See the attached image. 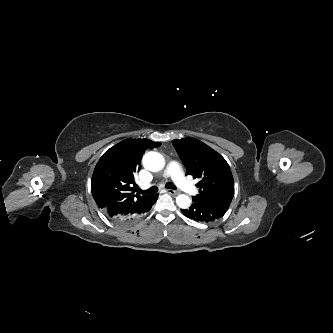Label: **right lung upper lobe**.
Wrapping results in <instances>:
<instances>
[{"instance_id": "cb5924a9", "label": "right lung upper lobe", "mask_w": 333, "mask_h": 333, "mask_svg": "<svg viewBox=\"0 0 333 333\" xmlns=\"http://www.w3.org/2000/svg\"><path fill=\"white\" fill-rule=\"evenodd\" d=\"M160 145L146 138H128L108 149L96 164L91 179L97 206L104 209L113 204L131 205L147 198L149 195L135 194L134 173L140 169L145 150Z\"/></svg>"}]
</instances>
